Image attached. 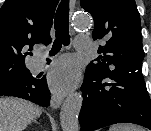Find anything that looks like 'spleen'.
I'll return each mask as SVG.
<instances>
[{"mask_svg": "<svg viewBox=\"0 0 151 131\" xmlns=\"http://www.w3.org/2000/svg\"><path fill=\"white\" fill-rule=\"evenodd\" d=\"M109 131H143V129L131 124H117L111 126Z\"/></svg>", "mask_w": 151, "mask_h": 131, "instance_id": "spleen-1", "label": "spleen"}]
</instances>
